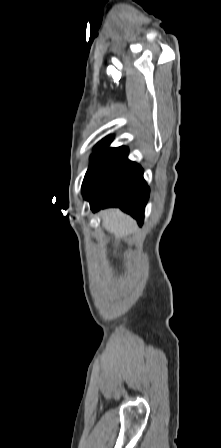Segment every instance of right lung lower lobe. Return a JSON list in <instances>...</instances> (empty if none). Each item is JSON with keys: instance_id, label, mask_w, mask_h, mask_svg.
<instances>
[{"instance_id": "1", "label": "right lung lower lobe", "mask_w": 221, "mask_h": 448, "mask_svg": "<svg viewBox=\"0 0 221 448\" xmlns=\"http://www.w3.org/2000/svg\"><path fill=\"white\" fill-rule=\"evenodd\" d=\"M127 156V147L113 149L82 187L83 196L94 212L119 207L142 225L150 190L143 169Z\"/></svg>"}]
</instances>
